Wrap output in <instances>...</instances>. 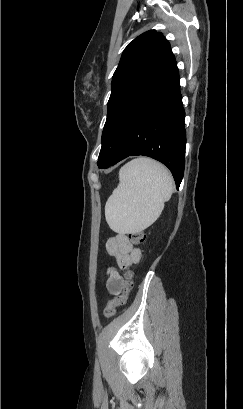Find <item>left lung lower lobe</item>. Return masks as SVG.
I'll return each instance as SVG.
<instances>
[{
  "label": "left lung lower lobe",
  "mask_w": 243,
  "mask_h": 409,
  "mask_svg": "<svg viewBox=\"0 0 243 409\" xmlns=\"http://www.w3.org/2000/svg\"><path fill=\"white\" fill-rule=\"evenodd\" d=\"M179 72L172 55L150 79L122 118L113 160L130 155L156 159L171 171L177 189L183 178L186 132Z\"/></svg>",
  "instance_id": "left-lung-lower-lobe-1"
}]
</instances>
